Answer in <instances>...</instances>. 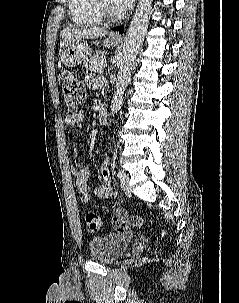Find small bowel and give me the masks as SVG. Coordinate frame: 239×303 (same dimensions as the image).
Masks as SVG:
<instances>
[{"label":"small bowel","mask_w":239,"mask_h":303,"mask_svg":"<svg viewBox=\"0 0 239 303\" xmlns=\"http://www.w3.org/2000/svg\"><path fill=\"white\" fill-rule=\"evenodd\" d=\"M88 87L96 88L99 85L98 80L93 76H88L86 78ZM84 120L82 113H78L73 116H68L65 119V123L68 127H77L80 126ZM100 172L102 181L97 184L95 187L90 188L88 185L89 178V169L87 167H73L72 173L75 177V183L79 191L81 192V201L87 203L92 199L93 194L98 198H107L112 194V185L110 182V173H109V162L108 159H105L100 165ZM117 215L121 218H132L135 220L134 223H123L120 230L126 229L128 226H140L142 224V219L136 216H126L123 212H117ZM118 221H115V226H117Z\"/></svg>","instance_id":"small-bowel-1"}]
</instances>
